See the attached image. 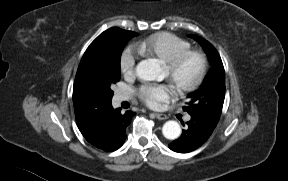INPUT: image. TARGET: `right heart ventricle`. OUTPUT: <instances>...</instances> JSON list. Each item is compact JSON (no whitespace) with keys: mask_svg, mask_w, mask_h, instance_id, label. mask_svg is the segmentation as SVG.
Instances as JSON below:
<instances>
[{"mask_svg":"<svg viewBox=\"0 0 288 181\" xmlns=\"http://www.w3.org/2000/svg\"><path fill=\"white\" fill-rule=\"evenodd\" d=\"M190 48L191 45L188 41L167 32L154 34L139 45L142 54L157 57L163 62L171 60Z\"/></svg>","mask_w":288,"mask_h":181,"instance_id":"obj_1","label":"right heart ventricle"}]
</instances>
